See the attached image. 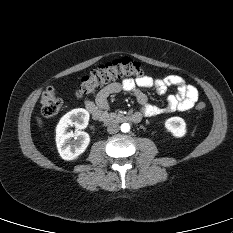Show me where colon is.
Here are the masks:
<instances>
[{
    "label": "colon",
    "instance_id": "1",
    "mask_svg": "<svg viewBox=\"0 0 233 233\" xmlns=\"http://www.w3.org/2000/svg\"><path fill=\"white\" fill-rule=\"evenodd\" d=\"M143 76L140 63L130 59H116L93 70L89 75L82 78L77 95L79 97L89 95L96 89L124 77ZM41 112L45 117L56 116L62 107V101L53 87H48L40 99ZM206 107L204 102H198L195 106L197 111H203Z\"/></svg>",
    "mask_w": 233,
    "mask_h": 233
}]
</instances>
